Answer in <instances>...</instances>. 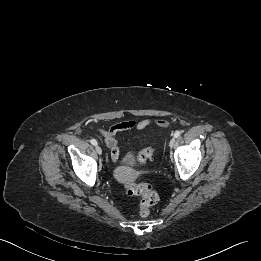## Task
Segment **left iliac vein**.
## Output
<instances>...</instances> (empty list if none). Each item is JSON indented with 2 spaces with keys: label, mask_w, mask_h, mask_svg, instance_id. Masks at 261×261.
I'll return each mask as SVG.
<instances>
[{
  "label": "left iliac vein",
  "mask_w": 261,
  "mask_h": 261,
  "mask_svg": "<svg viewBox=\"0 0 261 261\" xmlns=\"http://www.w3.org/2000/svg\"><path fill=\"white\" fill-rule=\"evenodd\" d=\"M174 144H175V138L173 137V138H171L170 141H169V146H170V147H173Z\"/></svg>",
  "instance_id": "4c4485c4"
}]
</instances>
